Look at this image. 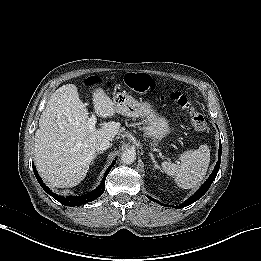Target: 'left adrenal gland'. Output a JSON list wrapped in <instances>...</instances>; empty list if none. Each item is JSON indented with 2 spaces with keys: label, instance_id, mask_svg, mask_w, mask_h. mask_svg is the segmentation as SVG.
<instances>
[{
  "label": "left adrenal gland",
  "instance_id": "obj_1",
  "mask_svg": "<svg viewBox=\"0 0 261 261\" xmlns=\"http://www.w3.org/2000/svg\"><path fill=\"white\" fill-rule=\"evenodd\" d=\"M149 156L151 157V160H152V162L154 163V168H156V169H161V167L158 165L157 161L155 160L153 154L150 153Z\"/></svg>",
  "mask_w": 261,
  "mask_h": 261
}]
</instances>
